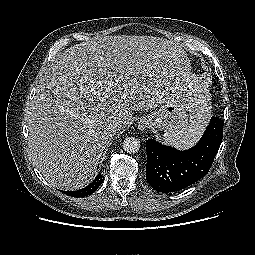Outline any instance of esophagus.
<instances>
[{"label":"esophagus","mask_w":255,"mask_h":255,"mask_svg":"<svg viewBox=\"0 0 255 255\" xmlns=\"http://www.w3.org/2000/svg\"><path fill=\"white\" fill-rule=\"evenodd\" d=\"M149 124H150L149 120H147L146 118H143L138 123V129L141 131H144L149 126Z\"/></svg>","instance_id":"34e87169"}]
</instances>
